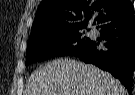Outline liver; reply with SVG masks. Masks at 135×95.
I'll return each instance as SVG.
<instances>
[{
  "label": "liver",
  "instance_id": "obj_1",
  "mask_svg": "<svg viewBox=\"0 0 135 95\" xmlns=\"http://www.w3.org/2000/svg\"><path fill=\"white\" fill-rule=\"evenodd\" d=\"M24 95H125V88L96 66L58 59L31 74Z\"/></svg>",
  "mask_w": 135,
  "mask_h": 95
}]
</instances>
